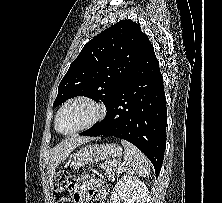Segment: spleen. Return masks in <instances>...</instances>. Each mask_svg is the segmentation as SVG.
I'll return each mask as SVG.
<instances>
[{
	"instance_id": "3e777b00",
	"label": "spleen",
	"mask_w": 222,
	"mask_h": 203,
	"mask_svg": "<svg viewBox=\"0 0 222 203\" xmlns=\"http://www.w3.org/2000/svg\"><path fill=\"white\" fill-rule=\"evenodd\" d=\"M124 146V170L129 175L149 176L150 162L148 158L133 144L126 140H121Z\"/></svg>"
}]
</instances>
